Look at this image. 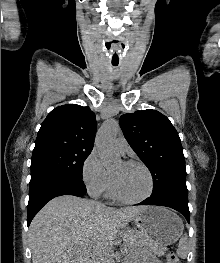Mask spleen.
<instances>
[{"label":"spleen","instance_id":"3e777b00","mask_svg":"<svg viewBox=\"0 0 220 263\" xmlns=\"http://www.w3.org/2000/svg\"><path fill=\"white\" fill-rule=\"evenodd\" d=\"M188 238L187 235H184L179 241L178 255L182 258L186 256L187 253Z\"/></svg>","mask_w":220,"mask_h":263}]
</instances>
